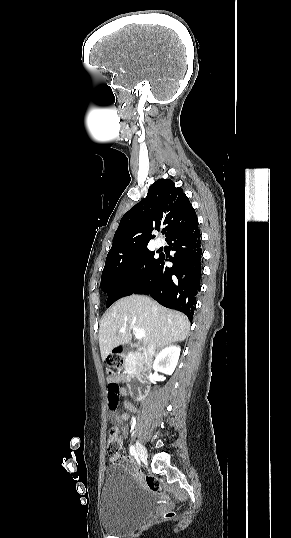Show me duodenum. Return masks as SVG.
Returning a JSON list of instances; mask_svg holds the SVG:
<instances>
[{
  "label": "duodenum",
  "instance_id": "1",
  "mask_svg": "<svg viewBox=\"0 0 291 538\" xmlns=\"http://www.w3.org/2000/svg\"><path fill=\"white\" fill-rule=\"evenodd\" d=\"M118 353L122 356L130 355L131 357L138 359L139 364L137 368L135 369V372L137 374H145L147 372V369L150 368V357L148 355H144L143 351L139 347H120L118 349ZM128 381L130 386L129 394L132 397H142L144 394H146L150 388L151 385L147 381H141L136 379V374L133 372H130L128 374ZM143 379H146V376H143Z\"/></svg>",
  "mask_w": 291,
  "mask_h": 538
}]
</instances>
